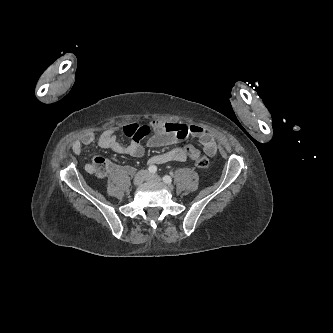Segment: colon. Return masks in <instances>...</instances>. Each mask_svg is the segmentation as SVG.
Returning a JSON list of instances; mask_svg holds the SVG:
<instances>
[{"label":"colon","mask_w":333,"mask_h":333,"mask_svg":"<svg viewBox=\"0 0 333 333\" xmlns=\"http://www.w3.org/2000/svg\"><path fill=\"white\" fill-rule=\"evenodd\" d=\"M194 147L192 145H187L185 147V151L186 153H191L193 151ZM194 163L197 167L199 168H205L208 166L209 164V159L208 157L204 156V155H198L196 156L194 159ZM97 176V175H96Z\"/></svg>","instance_id":"5ec220e1"}]
</instances>
